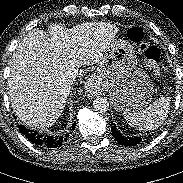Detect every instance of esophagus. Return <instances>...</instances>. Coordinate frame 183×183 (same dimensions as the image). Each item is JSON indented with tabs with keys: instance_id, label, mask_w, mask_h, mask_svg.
Listing matches in <instances>:
<instances>
[{
	"instance_id": "34e87169",
	"label": "esophagus",
	"mask_w": 183,
	"mask_h": 183,
	"mask_svg": "<svg viewBox=\"0 0 183 183\" xmlns=\"http://www.w3.org/2000/svg\"><path fill=\"white\" fill-rule=\"evenodd\" d=\"M86 89H87L88 93H90L91 95L99 94L102 90L99 79L96 76H92L88 80Z\"/></svg>"
}]
</instances>
